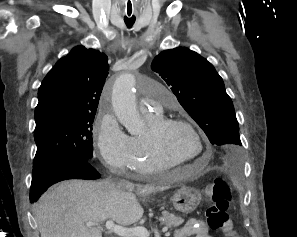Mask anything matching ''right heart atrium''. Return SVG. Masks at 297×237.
<instances>
[{"label": "right heart atrium", "instance_id": "obj_1", "mask_svg": "<svg viewBox=\"0 0 297 237\" xmlns=\"http://www.w3.org/2000/svg\"><path fill=\"white\" fill-rule=\"evenodd\" d=\"M95 146L102 161L113 171L130 169L131 137L110 110H102L95 124Z\"/></svg>", "mask_w": 297, "mask_h": 237}]
</instances>
